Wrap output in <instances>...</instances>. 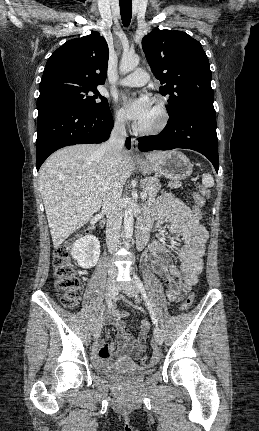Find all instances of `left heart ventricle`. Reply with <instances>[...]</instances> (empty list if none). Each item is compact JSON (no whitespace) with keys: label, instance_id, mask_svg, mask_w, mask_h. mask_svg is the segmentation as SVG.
<instances>
[{"label":"left heart ventricle","instance_id":"1","mask_svg":"<svg viewBox=\"0 0 259 431\" xmlns=\"http://www.w3.org/2000/svg\"><path fill=\"white\" fill-rule=\"evenodd\" d=\"M158 121H159V113L157 111L155 104L153 103L148 116L138 125L142 128H151L155 126L158 123Z\"/></svg>","mask_w":259,"mask_h":431}]
</instances>
